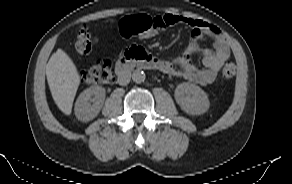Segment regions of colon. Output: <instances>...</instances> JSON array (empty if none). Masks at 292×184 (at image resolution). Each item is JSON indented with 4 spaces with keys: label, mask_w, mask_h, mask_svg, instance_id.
I'll return each mask as SVG.
<instances>
[{
    "label": "colon",
    "mask_w": 292,
    "mask_h": 184,
    "mask_svg": "<svg viewBox=\"0 0 292 184\" xmlns=\"http://www.w3.org/2000/svg\"><path fill=\"white\" fill-rule=\"evenodd\" d=\"M119 33L124 38L138 36L143 40H153L162 31L155 17L140 14L123 18L119 23ZM95 44V39L87 28H82L76 39L75 47L80 54H89ZM236 74V67L232 63L225 65L222 71L224 79H231ZM86 84H107L113 81L111 62L100 60L81 74Z\"/></svg>",
    "instance_id": "colon-1"
}]
</instances>
